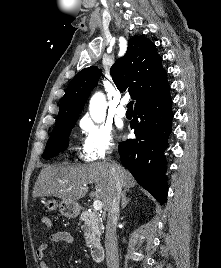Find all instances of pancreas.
Segmentation results:
<instances>
[{
    "instance_id": "1",
    "label": "pancreas",
    "mask_w": 221,
    "mask_h": 268,
    "mask_svg": "<svg viewBox=\"0 0 221 268\" xmlns=\"http://www.w3.org/2000/svg\"><path fill=\"white\" fill-rule=\"evenodd\" d=\"M80 220L84 221V236L87 247L100 242L103 233V224L99 215L94 211H83Z\"/></svg>"
}]
</instances>
